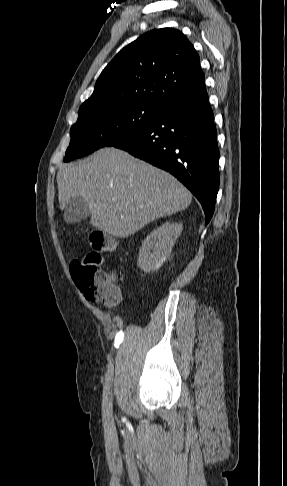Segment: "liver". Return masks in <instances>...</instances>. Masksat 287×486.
Returning a JSON list of instances; mask_svg holds the SVG:
<instances>
[{
    "label": "liver",
    "mask_w": 287,
    "mask_h": 486,
    "mask_svg": "<svg viewBox=\"0 0 287 486\" xmlns=\"http://www.w3.org/2000/svg\"><path fill=\"white\" fill-rule=\"evenodd\" d=\"M58 199L64 209L73 197L89 205L90 224L117 238L189 207L191 193L172 175L125 151L103 148L78 164L60 165Z\"/></svg>",
    "instance_id": "1"
}]
</instances>
